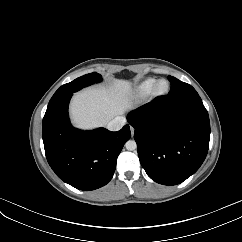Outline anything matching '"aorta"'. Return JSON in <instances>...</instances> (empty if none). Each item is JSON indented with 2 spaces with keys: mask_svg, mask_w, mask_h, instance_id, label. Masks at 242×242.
Listing matches in <instances>:
<instances>
[{
  "mask_svg": "<svg viewBox=\"0 0 242 242\" xmlns=\"http://www.w3.org/2000/svg\"><path fill=\"white\" fill-rule=\"evenodd\" d=\"M125 147L129 151H133L137 148V144L134 140H128L125 144Z\"/></svg>",
  "mask_w": 242,
  "mask_h": 242,
  "instance_id": "1",
  "label": "aorta"
}]
</instances>
